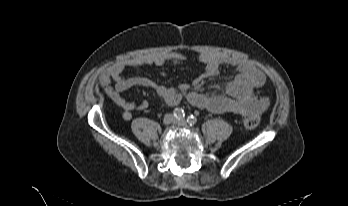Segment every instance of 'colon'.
<instances>
[{"label":"colon","instance_id":"obj_1","mask_svg":"<svg viewBox=\"0 0 348 206\" xmlns=\"http://www.w3.org/2000/svg\"><path fill=\"white\" fill-rule=\"evenodd\" d=\"M244 126L247 128V129H255L258 125H259V117L257 115H250V116H247L246 118H244Z\"/></svg>","mask_w":348,"mask_h":206}]
</instances>
